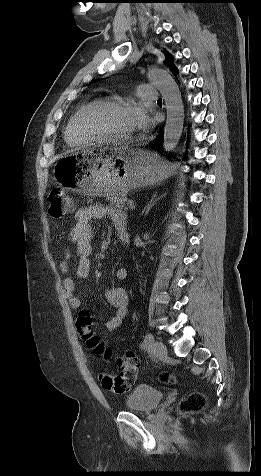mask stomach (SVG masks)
Here are the masks:
<instances>
[{"instance_id": "stomach-1", "label": "stomach", "mask_w": 261, "mask_h": 476, "mask_svg": "<svg viewBox=\"0 0 261 476\" xmlns=\"http://www.w3.org/2000/svg\"><path fill=\"white\" fill-rule=\"evenodd\" d=\"M61 162L56 165L57 179L65 190H78V195L122 196L173 173L157 154L131 147L110 149L109 144H98L97 151H79L78 156H62Z\"/></svg>"}]
</instances>
